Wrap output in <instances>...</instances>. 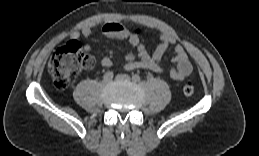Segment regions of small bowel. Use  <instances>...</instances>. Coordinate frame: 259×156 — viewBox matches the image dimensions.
Wrapping results in <instances>:
<instances>
[{"instance_id":"small-bowel-1","label":"small bowel","mask_w":259,"mask_h":156,"mask_svg":"<svg viewBox=\"0 0 259 156\" xmlns=\"http://www.w3.org/2000/svg\"><path fill=\"white\" fill-rule=\"evenodd\" d=\"M101 32L106 37L127 39L131 46L136 49V54L134 52H129L125 57V68L129 71L135 69H147L154 72H162L163 68L161 66V60L167 49L170 46H174V66L169 71L171 78L177 81H182L192 72V64L184 47L181 44H178L176 39L168 33H161L155 50L152 53H149L141 42L138 34L129 26L110 22L102 26ZM94 33L95 29L93 27H85L82 30L72 32L70 37L72 40H77L80 37H90ZM84 49L86 51H90L91 46L86 44L84 45ZM136 56L138 59H136ZM102 65L104 67H110L112 65L111 58H103Z\"/></svg>"}]
</instances>
